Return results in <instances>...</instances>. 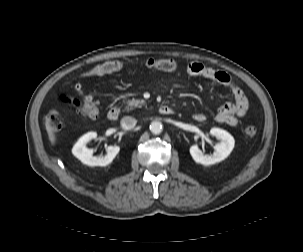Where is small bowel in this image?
Listing matches in <instances>:
<instances>
[{
	"mask_svg": "<svg viewBox=\"0 0 303 252\" xmlns=\"http://www.w3.org/2000/svg\"><path fill=\"white\" fill-rule=\"evenodd\" d=\"M184 72L189 76L202 77L228 87L235 98V103H225L220 106L215 113L214 119L216 122L227 123L231 126L238 124L239 119L246 114V101L243 90L237 83L232 81L228 75L198 62L186 66ZM193 119L196 122H204L206 116L198 112L193 115Z\"/></svg>",
	"mask_w": 303,
	"mask_h": 252,
	"instance_id": "1",
	"label": "small bowel"
}]
</instances>
